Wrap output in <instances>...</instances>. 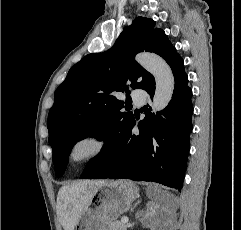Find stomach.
<instances>
[{
  "mask_svg": "<svg viewBox=\"0 0 241 230\" xmlns=\"http://www.w3.org/2000/svg\"><path fill=\"white\" fill-rule=\"evenodd\" d=\"M137 195V187L126 180L95 183L93 196L81 213L76 230H111V223L130 209Z\"/></svg>",
  "mask_w": 241,
  "mask_h": 230,
  "instance_id": "1",
  "label": "stomach"
}]
</instances>
